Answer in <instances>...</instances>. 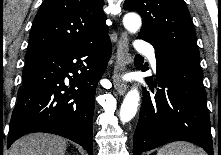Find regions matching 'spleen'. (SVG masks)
<instances>
[{"label": "spleen", "instance_id": "3e777b00", "mask_svg": "<svg viewBox=\"0 0 221 155\" xmlns=\"http://www.w3.org/2000/svg\"><path fill=\"white\" fill-rule=\"evenodd\" d=\"M157 155H205L204 152L195 145L188 142H172L157 152Z\"/></svg>", "mask_w": 221, "mask_h": 155}]
</instances>
